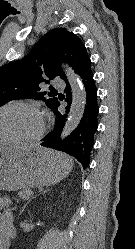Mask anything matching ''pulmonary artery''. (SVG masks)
I'll list each match as a JSON object with an SVG mask.
<instances>
[{
	"mask_svg": "<svg viewBox=\"0 0 135 249\" xmlns=\"http://www.w3.org/2000/svg\"><path fill=\"white\" fill-rule=\"evenodd\" d=\"M64 86H65L64 82L62 80H60L59 78H55L53 80V87H55V88H62Z\"/></svg>",
	"mask_w": 135,
	"mask_h": 249,
	"instance_id": "obj_1",
	"label": "pulmonary artery"
}]
</instances>
